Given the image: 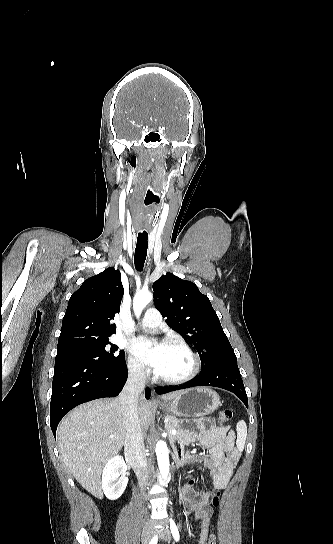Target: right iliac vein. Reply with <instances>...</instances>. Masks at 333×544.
<instances>
[{
    "label": "right iliac vein",
    "instance_id": "obj_1",
    "mask_svg": "<svg viewBox=\"0 0 333 544\" xmlns=\"http://www.w3.org/2000/svg\"><path fill=\"white\" fill-rule=\"evenodd\" d=\"M153 534H154L153 528L150 525H146L143 528V532H142V542H143V544H148L150 542V540L152 539Z\"/></svg>",
    "mask_w": 333,
    "mask_h": 544
}]
</instances>
